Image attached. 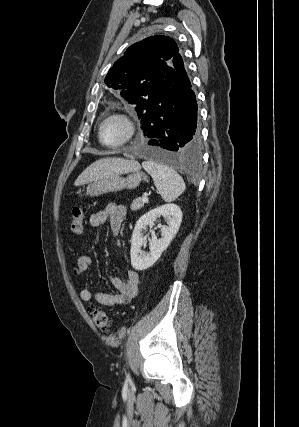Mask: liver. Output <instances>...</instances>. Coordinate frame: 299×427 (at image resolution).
Segmentation results:
<instances>
[{
  "label": "liver",
  "mask_w": 299,
  "mask_h": 427,
  "mask_svg": "<svg viewBox=\"0 0 299 427\" xmlns=\"http://www.w3.org/2000/svg\"><path fill=\"white\" fill-rule=\"evenodd\" d=\"M140 169L134 160L123 158H102L88 166L75 180V186H81L115 174H124Z\"/></svg>",
  "instance_id": "1"
}]
</instances>
